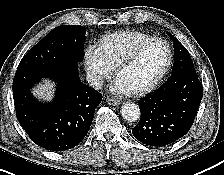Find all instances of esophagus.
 Masks as SVG:
<instances>
[{"mask_svg": "<svg viewBox=\"0 0 224 175\" xmlns=\"http://www.w3.org/2000/svg\"><path fill=\"white\" fill-rule=\"evenodd\" d=\"M106 102L112 106H118L120 104V101L113 99V98H107Z\"/></svg>", "mask_w": 224, "mask_h": 175, "instance_id": "obj_1", "label": "esophagus"}]
</instances>
